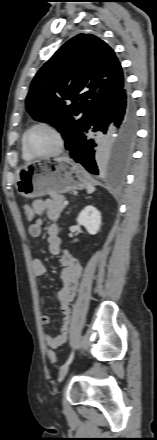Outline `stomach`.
<instances>
[{
    "mask_svg": "<svg viewBox=\"0 0 157 440\" xmlns=\"http://www.w3.org/2000/svg\"><path fill=\"white\" fill-rule=\"evenodd\" d=\"M88 174L67 157L40 159L27 163L17 175L16 190L25 198L60 195L87 187Z\"/></svg>",
    "mask_w": 157,
    "mask_h": 440,
    "instance_id": "0dacf381",
    "label": "stomach"
}]
</instances>
